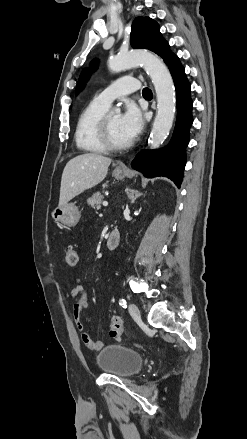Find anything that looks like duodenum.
I'll list each match as a JSON object with an SVG mask.
<instances>
[{
    "instance_id": "duodenum-1",
    "label": "duodenum",
    "mask_w": 247,
    "mask_h": 439,
    "mask_svg": "<svg viewBox=\"0 0 247 439\" xmlns=\"http://www.w3.org/2000/svg\"><path fill=\"white\" fill-rule=\"evenodd\" d=\"M120 232L117 229H113L106 239V246L109 250L116 249L120 244Z\"/></svg>"
}]
</instances>
